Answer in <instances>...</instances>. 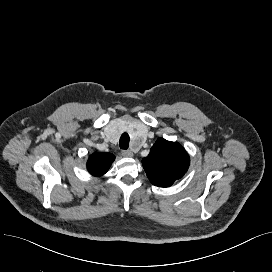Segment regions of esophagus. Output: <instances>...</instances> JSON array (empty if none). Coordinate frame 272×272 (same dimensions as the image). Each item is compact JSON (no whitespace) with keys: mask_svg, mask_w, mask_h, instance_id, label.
I'll list each match as a JSON object with an SVG mask.
<instances>
[{"mask_svg":"<svg viewBox=\"0 0 272 272\" xmlns=\"http://www.w3.org/2000/svg\"><path fill=\"white\" fill-rule=\"evenodd\" d=\"M122 156L123 157H132L133 153L130 150H123L122 151Z\"/></svg>","mask_w":272,"mask_h":272,"instance_id":"obj_1","label":"esophagus"}]
</instances>
